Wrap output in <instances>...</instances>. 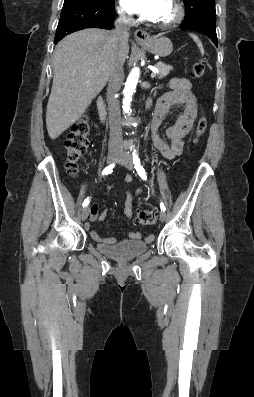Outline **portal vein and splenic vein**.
Here are the masks:
<instances>
[{"mask_svg":"<svg viewBox=\"0 0 254 397\" xmlns=\"http://www.w3.org/2000/svg\"><path fill=\"white\" fill-rule=\"evenodd\" d=\"M157 73H158V70H157V69H154V70L152 71L151 77L154 78V77L156 76Z\"/></svg>","mask_w":254,"mask_h":397,"instance_id":"18ae733b","label":"portal vein and splenic vein"}]
</instances>
